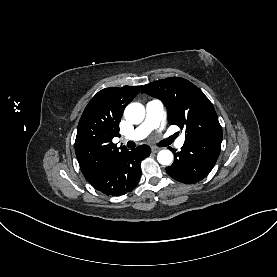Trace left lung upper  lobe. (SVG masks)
<instances>
[{"instance_id":"left-lung-upper-lobe-1","label":"left lung upper lobe","mask_w":277,"mask_h":277,"mask_svg":"<svg viewBox=\"0 0 277 277\" xmlns=\"http://www.w3.org/2000/svg\"><path fill=\"white\" fill-rule=\"evenodd\" d=\"M142 93L164 103L169 123L185 129V141L222 136V128L212 103L190 81L170 77L146 84Z\"/></svg>"}]
</instances>
